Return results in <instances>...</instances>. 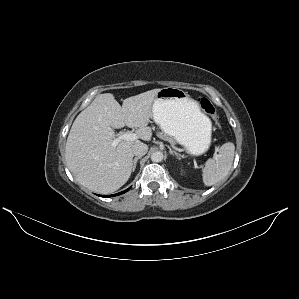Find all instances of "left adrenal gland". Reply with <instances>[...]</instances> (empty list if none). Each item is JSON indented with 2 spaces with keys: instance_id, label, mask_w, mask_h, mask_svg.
I'll return each mask as SVG.
<instances>
[{
  "instance_id": "left-adrenal-gland-1",
  "label": "left adrenal gland",
  "mask_w": 299,
  "mask_h": 299,
  "mask_svg": "<svg viewBox=\"0 0 299 299\" xmlns=\"http://www.w3.org/2000/svg\"><path fill=\"white\" fill-rule=\"evenodd\" d=\"M169 148V153L172 155H175L176 157L180 156L177 152L173 151L170 147Z\"/></svg>"
}]
</instances>
